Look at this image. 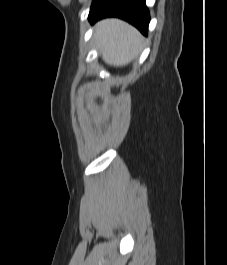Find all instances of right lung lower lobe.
Listing matches in <instances>:
<instances>
[{
	"label": "right lung lower lobe",
	"instance_id": "obj_1",
	"mask_svg": "<svg viewBox=\"0 0 227 265\" xmlns=\"http://www.w3.org/2000/svg\"><path fill=\"white\" fill-rule=\"evenodd\" d=\"M105 17L124 19L143 34H147L150 16L145 0H107L95 14L89 17V21L94 23Z\"/></svg>",
	"mask_w": 227,
	"mask_h": 265
}]
</instances>
